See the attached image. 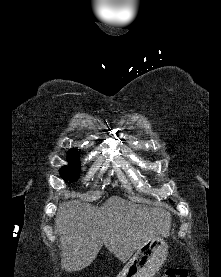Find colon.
Returning a JSON list of instances; mask_svg holds the SVG:
<instances>
[{"instance_id":"colon-1","label":"colon","mask_w":221,"mask_h":277,"mask_svg":"<svg viewBox=\"0 0 221 277\" xmlns=\"http://www.w3.org/2000/svg\"><path fill=\"white\" fill-rule=\"evenodd\" d=\"M164 277H187V271L182 268H170Z\"/></svg>"}]
</instances>
